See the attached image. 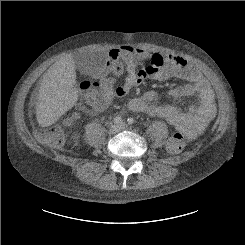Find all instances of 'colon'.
Wrapping results in <instances>:
<instances>
[{
    "label": "colon",
    "instance_id": "1",
    "mask_svg": "<svg viewBox=\"0 0 245 245\" xmlns=\"http://www.w3.org/2000/svg\"><path fill=\"white\" fill-rule=\"evenodd\" d=\"M126 48L128 58L135 60L138 56L137 49L133 46H129ZM159 64L163 65L164 63L160 61ZM121 66L122 61L120 59H116L115 68H121ZM82 89L84 91L101 92L104 94H109L113 90V85L111 83L110 78L104 77L99 82H84L82 84ZM74 120V115L67 116L59 123V125H54L39 130L37 133V137L41 142L45 144H49L51 146H59L62 143L63 139V128L70 125ZM185 145V134L182 132H175L168 138L166 147L168 152L172 154H178L185 148Z\"/></svg>",
    "mask_w": 245,
    "mask_h": 245
}]
</instances>
